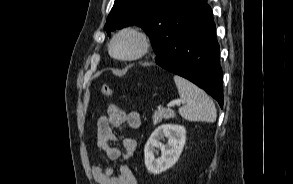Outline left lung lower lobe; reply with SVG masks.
<instances>
[{
	"label": "left lung lower lobe",
	"mask_w": 293,
	"mask_h": 184,
	"mask_svg": "<svg viewBox=\"0 0 293 184\" xmlns=\"http://www.w3.org/2000/svg\"><path fill=\"white\" fill-rule=\"evenodd\" d=\"M156 63L204 89L223 106L222 69L207 0H183L172 13Z\"/></svg>",
	"instance_id": "1"
}]
</instances>
